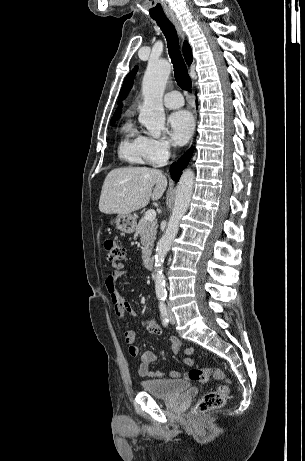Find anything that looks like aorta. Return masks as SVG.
I'll return each instance as SVG.
<instances>
[{"label":"aorta","instance_id":"aorta-1","mask_svg":"<svg viewBox=\"0 0 305 461\" xmlns=\"http://www.w3.org/2000/svg\"><path fill=\"white\" fill-rule=\"evenodd\" d=\"M171 73V65L166 60L149 61L142 81L144 102L140 109L139 121L153 137H159L165 128V113L162 97ZM194 172L185 170L178 182L175 203L167 228L160 238L155 252V292L157 297L166 295L163 263L175 239L179 223L186 213L193 193Z\"/></svg>","mask_w":305,"mask_h":461}]
</instances>
